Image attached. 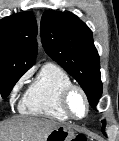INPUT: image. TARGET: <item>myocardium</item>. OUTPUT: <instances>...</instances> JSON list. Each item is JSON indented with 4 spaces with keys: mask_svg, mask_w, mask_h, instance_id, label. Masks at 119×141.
Instances as JSON below:
<instances>
[{
    "mask_svg": "<svg viewBox=\"0 0 119 141\" xmlns=\"http://www.w3.org/2000/svg\"><path fill=\"white\" fill-rule=\"evenodd\" d=\"M75 92L79 93L82 96L84 104H85V112L82 116L75 115L71 110L70 98L72 94ZM60 105H61V109L68 116V118L73 119V120L84 119L88 115L89 110H90V103H89V99H88L86 92L84 91V89L81 86L73 84V83L66 86L61 91Z\"/></svg>",
    "mask_w": 119,
    "mask_h": 141,
    "instance_id": "f54148a6",
    "label": "myocardium"
}]
</instances>
